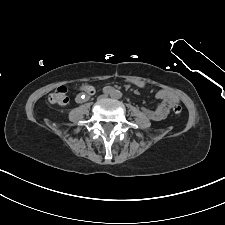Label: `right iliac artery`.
Instances as JSON below:
<instances>
[{"instance_id":"right-iliac-artery-1","label":"right iliac artery","mask_w":225,"mask_h":225,"mask_svg":"<svg viewBox=\"0 0 225 225\" xmlns=\"http://www.w3.org/2000/svg\"><path fill=\"white\" fill-rule=\"evenodd\" d=\"M103 92L105 94H112L114 91H113V88L112 87L106 86V87L103 88Z\"/></svg>"}]
</instances>
